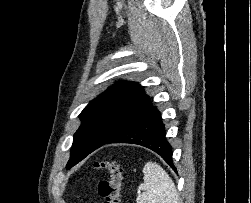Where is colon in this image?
I'll return each instance as SVG.
<instances>
[{"mask_svg":"<svg viewBox=\"0 0 251 203\" xmlns=\"http://www.w3.org/2000/svg\"><path fill=\"white\" fill-rule=\"evenodd\" d=\"M93 167L104 170L108 174L107 179L98 183V193L104 199V203H120L123 180L122 165L116 161L97 160L93 163Z\"/></svg>","mask_w":251,"mask_h":203,"instance_id":"obj_1","label":"colon"}]
</instances>
